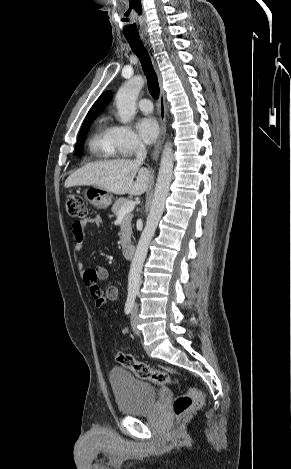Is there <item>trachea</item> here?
Returning a JSON list of instances; mask_svg holds the SVG:
<instances>
[{
    "mask_svg": "<svg viewBox=\"0 0 291 469\" xmlns=\"http://www.w3.org/2000/svg\"><path fill=\"white\" fill-rule=\"evenodd\" d=\"M127 41L129 42L131 49L133 52L137 55V57L140 60L143 72L147 78V83H148V90L151 94V96L154 99H158L159 97V84H158V79L157 75L155 73V70L152 65L151 58L149 56L148 51L142 44L140 38L138 37H127Z\"/></svg>",
    "mask_w": 291,
    "mask_h": 469,
    "instance_id": "1",
    "label": "trachea"
}]
</instances>
